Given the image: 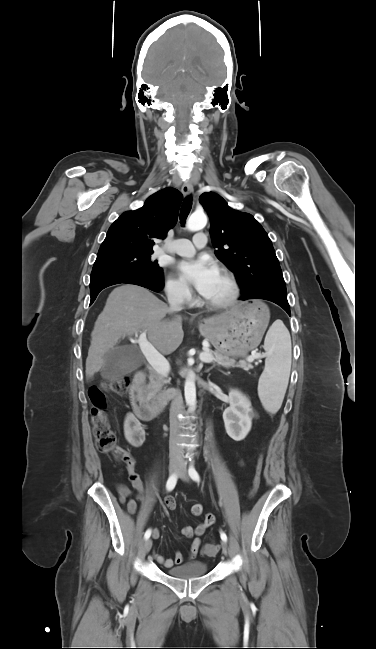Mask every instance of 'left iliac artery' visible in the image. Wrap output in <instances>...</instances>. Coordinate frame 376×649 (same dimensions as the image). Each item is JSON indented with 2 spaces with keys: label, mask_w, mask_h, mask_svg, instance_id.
I'll use <instances>...</instances> for the list:
<instances>
[{
  "label": "left iliac artery",
  "mask_w": 376,
  "mask_h": 649,
  "mask_svg": "<svg viewBox=\"0 0 376 649\" xmlns=\"http://www.w3.org/2000/svg\"><path fill=\"white\" fill-rule=\"evenodd\" d=\"M188 472H189L190 477H191L194 481H196V482H199V481H200V476H199L198 472L196 471V469L194 468L193 465H191V466L189 467ZM220 536H221V539H222L223 541H225V542L227 541V535H226L224 532H221V533H220Z\"/></svg>",
  "instance_id": "44dca946"
}]
</instances>
